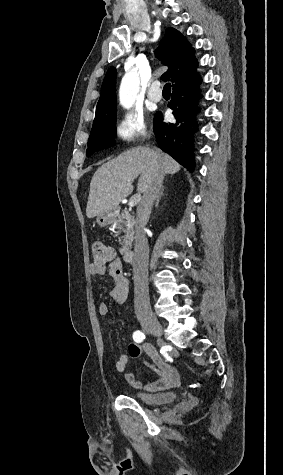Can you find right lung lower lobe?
I'll list each match as a JSON object with an SVG mask.
<instances>
[{
	"mask_svg": "<svg viewBox=\"0 0 283 475\" xmlns=\"http://www.w3.org/2000/svg\"><path fill=\"white\" fill-rule=\"evenodd\" d=\"M201 81L194 70L172 84L168 107L174 110L176 123L164 122L161 112H157L154 118V133L159 147L191 172L194 170L192 141L197 130V102L202 97L199 89Z\"/></svg>",
	"mask_w": 283,
	"mask_h": 475,
	"instance_id": "right-lung-lower-lobe-1",
	"label": "right lung lower lobe"
}]
</instances>
